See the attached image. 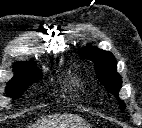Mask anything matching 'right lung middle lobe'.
Masks as SVG:
<instances>
[{
    "instance_id": "right-lung-middle-lobe-1",
    "label": "right lung middle lobe",
    "mask_w": 142,
    "mask_h": 128,
    "mask_svg": "<svg viewBox=\"0 0 142 128\" xmlns=\"http://www.w3.org/2000/svg\"><path fill=\"white\" fill-rule=\"evenodd\" d=\"M41 76L42 73L34 66L21 77L12 79V81L7 84L6 93L13 98H19L26 88L38 81Z\"/></svg>"
}]
</instances>
